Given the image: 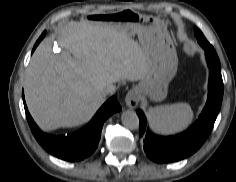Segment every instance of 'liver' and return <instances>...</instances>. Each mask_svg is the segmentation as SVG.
<instances>
[{
	"mask_svg": "<svg viewBox=\"0 0 236 182\" xmlns=\"http://www.w3.org/2000/svg\"><path fill=\"white\" fill-rule=\"evenodd\" d=\"M58 41L65 52L54 53L53 38H46L25 74L28 109L46 130L89 121L106 100L104 87L142 80L148 69L147 46L112 22L70 21L60 26Z\"/></svg>",
	"mask_w": 236,
	"mask_h": 182,
	"instance_id": "liver-1",
	"label": "liver"
}]
</instances>
